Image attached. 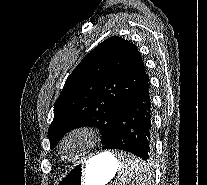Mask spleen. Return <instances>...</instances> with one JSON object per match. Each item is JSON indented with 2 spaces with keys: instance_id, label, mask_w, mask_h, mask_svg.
I'll use <instances>...</instances> for the list:
<instances>
[{
  "instance_id": "3e777b00",
  "label": "spleen",
  "mask_w": 207,
  "mask_h": 185,
  "mask_svg": "<svg viewBox=\"0 0 207 185\" xmlns=\"http://www.w3.org/2000/svg\"><path fill=\"white\" fill-rule=\"evenodd\" d=\"M117 157L120 170L115 185H144L146 179H153V174H149V166H145L142 159H133L137 158V153L120 151Z\"/></svg>"
}]
</instances>
